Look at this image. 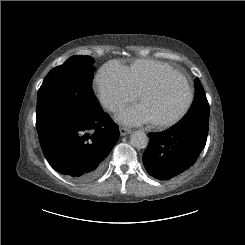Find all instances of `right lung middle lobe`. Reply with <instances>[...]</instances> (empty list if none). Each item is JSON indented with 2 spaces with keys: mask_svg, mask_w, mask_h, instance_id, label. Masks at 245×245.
Here are the masks:
<instances>
[{
  "mask_svg": "<svg viewBox=\"0 0 245 245\" xmlns=\"http://www.w3.org/2000/svg\"><path fill=\"white\" fill-rule=\"evenodd\" d=\"M92 64L90 57L73 56L47 74L38 91L37 131L67 116L91 115L101 110L91 89Z\"/></svg>",
  "mask_w": 245,
  "mask_h": 245,
  "instance_id": "obj_1",
  "label": "right lung middle lobe"
}]
</instances>
